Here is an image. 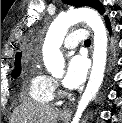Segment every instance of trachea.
Returning <instances> with one entry per match:
<instances>
[{"label":"trachea","instance_id":"3493384b","mask_svg":"<svg viewBox=\"0 0 122 123\" xmlns=\"http://www.w3.org/2000/svg\"><path fill=\"white\" fill-rule=\"evenodd\" d=\"M90 43H91L90 39H87V40L84 42L85 45H90Z\"/></svg>","mask_w":122,"mask_h":123}]
</instances>
